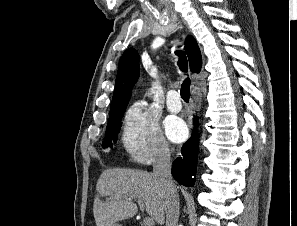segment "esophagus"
Returning <instances> with one entry per match:
<instances>
[{
  "mask_svg": "<svg viewBox=\"0 0 297 226\" xmlns=\"http://www.w3.org/2000/svg\"><path fill=\"white\" fill-rule=\"evenodd\" d=\"M193 93H194L195 101H196V103H197V107H198V97L196 96V92H195V91H193Z\"/></svg>",
  "mask_w": 297,
  "mask_h": 226,
  "instance_id": "obj_1",
  "label": "esophagus"
}]
</instances>
